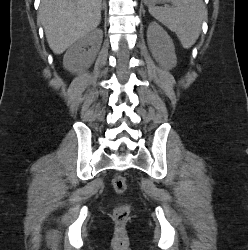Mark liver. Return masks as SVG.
<instances>
[{
  "instance_id": "6515ba94",
  "label": "liver",
  "mask_w": 248,
  "mask_h": 250,
  "mask_svg": "<svg viewBox=\"0 0 248 250\" xmlns=\"http://www.w3.org/2000/svg\"><path fill=\"white\" fill-rule=\"evenodd\" d=\"M38 18L49 47L61 54L101 21V0H41Z\"/></svg>"
}]
</instances>
